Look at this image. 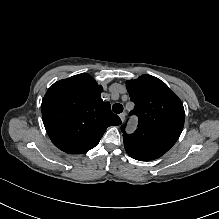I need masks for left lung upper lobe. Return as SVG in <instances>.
Returning <instances> with one entry per match:
<instances>
[{
	"label": "left lung upper lobe",
	"mask_w": 219,
	"mask_h": 219,
	"mask_svg": "<svg viewBox=\"0 0 219 219\" xmlns=\"http://www.w3.org/2000/svg\"><path fill=\"white\" fill-rule=\"evenodd\" d=\"M137 115L138 128L126 134L122 126L125 150L140 161L157 159L178 140L185 120L184 107L178 96L160 79L142 75L126 83Z\"/></svg>",
	"instance_id": "obj_1"
}]
</instances>
